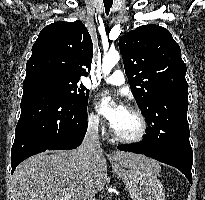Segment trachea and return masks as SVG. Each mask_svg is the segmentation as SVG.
I'll use <instances>...</instances> for the list:
<instances>
[{
	"mask_svg": "<svg viewBox=\"0 0 205 200\" xmlns=\"http://www.w3.org/2000/svg\"><path fill=\"white\" fill-rule=\"evenodd\" d=\"M103 2H104L105 12H106V14H109V11L112 7L113 1L112 0H103Z\"/></svg>",
	"mask_w": 205,
	"mask_h": 200,
	"instance_id": "3493384b",
	"label": "trachea"
}]
</instances>
